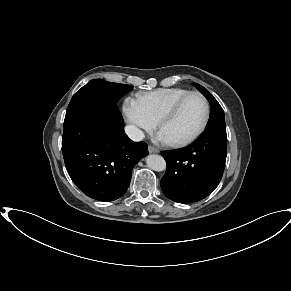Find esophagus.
<instances>
[{
    "label": "esophagus",
    "instance_id": "obj_1",
    "mask_svg": "<svg viewBox=\"0 0 291 291\" xmlns=\"http://www.w3.org/2000/svg\"><path fill=\"white\" fill-rule=\"evenodd\" d=\"M149 153H158L159 150L153 146H148Z\"/></svg>",
    "mask_w": 291,
    "mask_h": 291
}]
</instances>
